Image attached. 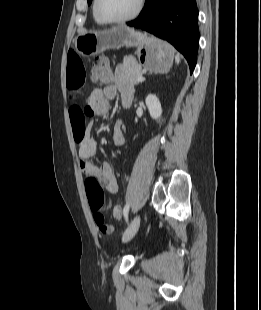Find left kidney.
<instances>
[{
    "mask_svg": "<svg viewBox=\"0 0 261 310\" xmlns=\"http://www.w3.org/2000/svg\"><path fill=\"white\" fill-rule=\"evenodd\" d=\"M150 116L157 122L161 121L162 107L158 97L154 94H149L145 99Z\"/></svg>",
    "mask_w": 261,
    "mask_h": 310,
    "instance_id": "1",
    "label": "left kidney"
}]
</instances>
